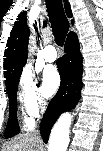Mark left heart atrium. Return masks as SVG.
Segmentation results:
<instances>
[{
  "label": "left heart atrium",
  "instance_id": "obj_1",
  "mask_svg": "<svg viewBox=\"0 0 103 151\" xmlns=\"http://www.w3.org/2000/svg\"><path fill=\"white\" fill-rule=\"evenodd\" d=\"M43 92L46 97L52 96L60 85V75L54 66H48L44 69L43 76Z\"/></svg>",
  "mask_w": 103,
  "mask_h": 151
}]
</instances>
